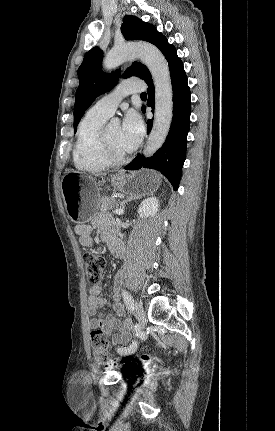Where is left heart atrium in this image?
I'll return each instance as SVG.
<instances>
[{
  "label": "left heart atrium",
  "mask_w": 275,
  "mask_h": 431,
  "mask_svg": "<svg viewBox=\"0 0 275 431\" xmlns=\"http://www.w3.org/2000/svg\"><path fill=\"white\" fill-rule=\"evenodd\" d=\"M144 133V124L137 112L126 114L120 132V143L127 151H133L139 144Z\"/></svg>",
  "instance_id": "left-heart-atrium-1"
}]
</instances>
